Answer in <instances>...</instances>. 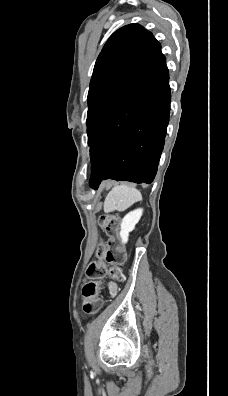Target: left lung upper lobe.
I'll return each mask as SVG.
<instances>
[{
  "label": "left lung upper lobe",
  "instance_id": "left-lung-upper-lobe-1",
  "mask_svg": "<svg viewBox=\"0 0 228 396\" xmlns=\"http://www.w3.org/2000/svg\"><path fill=\"white\" fill-rule=\"evenodd\" d=\"M158 41L139 24L115 31L99 54L88 93L87 134L91 146L105 119L143 72Z\"/></svg>",
  "mask_w": 228,
  "mask_h": 396
}]
</instances>
